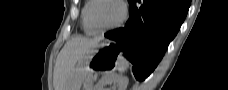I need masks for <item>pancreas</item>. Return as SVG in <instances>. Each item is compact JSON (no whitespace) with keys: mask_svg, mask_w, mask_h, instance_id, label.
<instances>
[{"mask_svg":"<svg viewBox=\"0 0 228 90\" xmlns=\"http://www.w3.org/2000/svg\"><path fill=\"white\" fill-rule=\"evenodd\" d=\"M93 82H94V76L89 75L83 84V90H92Z\"/></svg>","mask_w":228,"mask_h":90,"instance_id":"cf45deb5","label":"pancreas"}]
</instances>
